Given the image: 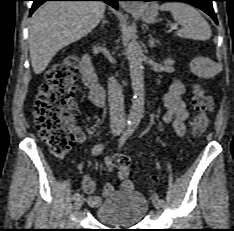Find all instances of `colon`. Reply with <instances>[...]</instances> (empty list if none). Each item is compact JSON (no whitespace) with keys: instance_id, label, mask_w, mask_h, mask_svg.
Segmentation results:
<instances>
[{"instance_id":"colon-1","label":"colon","mask_w":234,"mask_h":231,"mask_svg":"<svg viewBox=\"0 0 234 231\" xmlns=\"http://www.w3.org/2000/svg\"><path fill=\"white\" fill-rule=\"evenodd\" d=\"M78 67L77 55L69 54L48 69L34 105V119L39 134L59 157L64 156L75 141L72 124L79 116L74 101ZM192 104L196 111L191 125L192 133L200 136L208 129L213 110L212 98L204 86L194 85ZM114 165L121 179L132 176L129 156L117 154Z\"/></svg>"}]
</instances>
